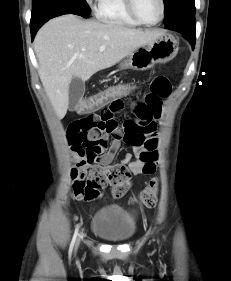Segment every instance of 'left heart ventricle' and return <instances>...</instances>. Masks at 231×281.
Masks as SVG:
<instances>
[{
  "label": "left heart ventricle",
  "mask_w": 231,
  "mask_h": 281,
  "mask_svg": "<svg viewBox=\"0 0 231 281\" xmlns=\"http://www.w3.org/2000/svg\"><path fill=\"white\" fill-rule=\"evenodd\" d=\"M136 9L147 22H155L161 15L160 0H135Z\"/></svg>",
  "instance_id": "b2bd125f"
}]
</instances>
